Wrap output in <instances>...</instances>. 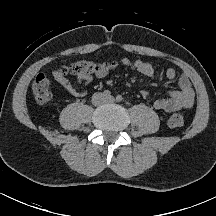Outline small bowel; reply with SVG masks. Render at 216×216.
<instances>
[{"label":"small bowel","instance_id":"c3829d8e","mask_svg":"<svg viewBox=\"0 0 216 216\" xmlns=\"http://www.w3.org/2000/svg\"><path fill=\"white\" fill-rule=\"evenodd\" d=\"M120 63L124 66L130 67L146 77H153L155 74L153 65L141 59L131 61L128 58H122ZM114 67L115 64L111 65L109 69L95 74V76L79 75L77 83L69 81V79L65 76L64 71L60 68L53 71V77L67 93L74 96H82L85 94V88L93 82L94 78L105 77ZM176 75L177 73L174 68L170 67L166 70V77L168 79L172 80L176 78ZM178 86L179 89L169 91L167 97L155 100L153 107L156 110L164 112H173L191 108L194 105L195 94L189 77L182 74L178 78ZM140 94L144 99H148L150 97V93L147 90H141Z\"/></svg>","mask_w":216,"mask_h":216}]
</instances>
